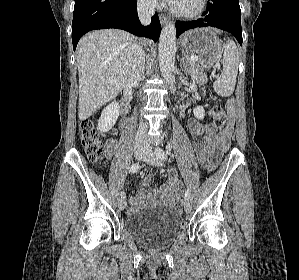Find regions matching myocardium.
I'll return each instance as SVG.
<instances>
[{
    "label": "myocardium",
    "mask_w": 299,
    "mask_h": 280,
    "mask_svg": "<svg viewBox=\"0 0 299 280\" xmlns=\"http://www.w3.org/2000/svg\"><path fill=\"white\" fill-rule=\"evenodd\" d=\"M206 6H207V0H199V4L197 8L194 9L193 11H182L176 8L173 4H170V11L178 17L185 18V19H193L200 16L204 12Z\"/></svg>",
    "instance_id": "myocardium-1"
}]
</instances>
